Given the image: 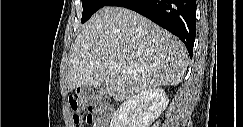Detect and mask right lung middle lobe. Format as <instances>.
<instances>
[{
    "mask_svg": "<svg viewBox=\"0 0 243 127\" xmlns=\"http://www.w3.org/2000/svg\"><path fill=\"white\" fill-rule=\"evenodd\" d=\"M110 0H82L83 12L81 22H86L97 10L106 6Z\"/></svg>",
    "mask_w": 243,
    "mask_h": 127,
    "instance_id": "dd1d6c3e",
    "label": "right lung middle lobe"
}]
</instances>
